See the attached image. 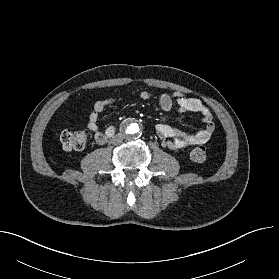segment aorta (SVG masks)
I'll list each match as a JSON object with an SVG mask.
<instances>
[{
  "instance_id": "obj_1",
  "label": "aorta",
  "mask_w": 279,
  "mask_h": 279,
  "mask_svg": "<svg viewBox=\"0 0 279 279\" xmlns=\"http://www.w3.org/2000/svg\"><path fill=\"white\" fill-rule=\"evenodd\" d=\"M123 132L128 137H136L141 132V125L136 120H132V119L127 120L123 124Z\"/></svg>"
}]
</instances>
